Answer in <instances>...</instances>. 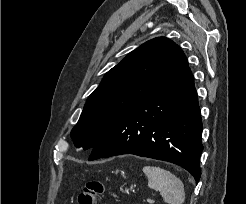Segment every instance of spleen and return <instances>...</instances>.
I'll return each mask as SVG.
<instances>
[{
    "instance_id": "spleen-1",
    "label": "spleen",
    "mask_w": 246,
    "mask_h": 204,
    "mask_svg": "<svg viewBox=\"0 0 246 204\" xmlns=\"http://www.w3.org/2000/svg\"><path fill=\"white\" fill-rule=\"evenodd\" d=\"M143 172L148 179V186L159 190L166 203L183 204L185 200L184 184L178 177L157 166H144Z\"/></svg>"
}]
</instances>
